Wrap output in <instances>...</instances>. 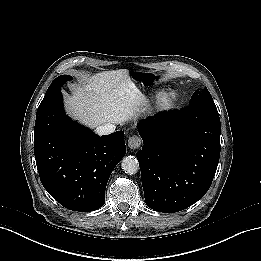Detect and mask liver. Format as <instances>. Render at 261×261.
Returning a JSON list of instances; mask_svg holds the SVG:
<instances>
[{"label":"liver","instance_id":"6515ba94","mask_svg":"<svg viewBox=\"0 0 261 261\" xmlns=\"http://www.w3.org/2000/svg\"><path fill=\"white\" fill-rule=\"evenodd\" d=\"M118 72L107 71L91 76L86 83L66 95V112L94 129L107 123L122 124L133 115L134 100L125 98L117 86Z\"/></svg>","mask_w":261,"mask_h":261}]
</instances>
